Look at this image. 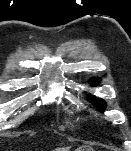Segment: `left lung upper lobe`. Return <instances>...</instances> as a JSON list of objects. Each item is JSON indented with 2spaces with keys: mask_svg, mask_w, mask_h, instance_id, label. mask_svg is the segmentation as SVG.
Segmentation results:
<instances>
[{
  "mask_svg": "<svg viewBox=\"0 0 131 151\" xmlns=\"http://www.w3.org/2000/svg\"><path fill=\"white\" fill-rule=\"evenodd\" d=\"M100 80V78L93 79L92 84L97 85L99 84ZM89 101L92 102L100 111H104L106 108V103L102 99L89 97Z\"/></svg>",
  "mask_w": 131,
  "mask_h": 151,
  "instance_id": "obj_1",
  "label": "left lung upper lobe"
}]
</instances>
